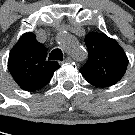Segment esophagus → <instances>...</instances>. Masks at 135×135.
<instances>
[{
  "label": "esophagus",
  "instance_id": "34e87169",
  "mask_svg": "<svg viewBox=\"0 0 135 135\" xmlns=\"http://www.w3.org/2000/svg\"><path fill=\"white\" fill-rule=\"evenodd\" d=\"M72 59L70 57H67L64 61H60L59 63L60 64H64V63H68V62H71Z\"/></svg>",
  "mask_w": 135,
  "mask_h": 135
}]
</instances>
